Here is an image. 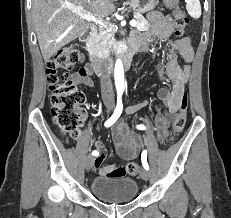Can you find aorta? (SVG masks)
Wrapping results in <instances>:
<instances>
[{"label":"aorta","mask_w":231,"mask_h":218,"mask_svg":"<svg viewBox=\"0 0 231 218\" xmlns=\"http://www.w3.org/2000/svg\"><path fill=\"white\" fill-rule=\"evenodd\" d=\"M114 79L117 91L124 90V68L120 59H117L114 69Z\"/></svg>","instance_id":"762f6f07"}]
</instances>
